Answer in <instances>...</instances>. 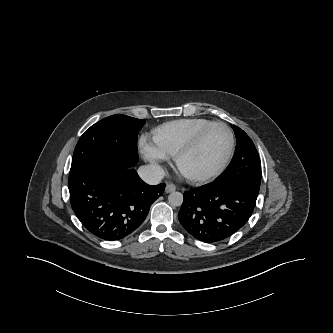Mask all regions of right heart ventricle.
<instances>
[{"label":"right heart ventricle","mask_w":333,"mask_h":333,"mask_svg":"<svg viewBox=\"0 0 333 333\" xmlns=\"http://www.w3.org/2000/svg\"><path fill=\"white\" fill-rule=\"evenodd\" d=\"M213 122L201 117L170 121L154 129L153 141L160 151L167 156H173L200 130Z\"/></svg>","instance_id":"obj_1"}]
</instances>
